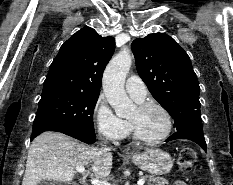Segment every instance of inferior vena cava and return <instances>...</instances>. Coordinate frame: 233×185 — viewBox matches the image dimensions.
<instances>
[{"label":"inferior vena cava","mask_w":233,"mask_h":185,"mask_svg":"<svg viewBox=\"0 0 233 185\" xmlns=\"http://www.w3.org/2000/svg\"><path fill=\"white\" fill-rule=\"evenodd\" d=\"M105 150H110L109 148H106V146H105V148H104Z\"/></svg>","instance_id":"1"}]
</instances>
